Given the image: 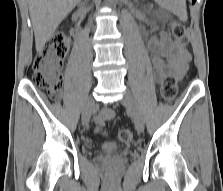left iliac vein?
Listing matches in <instances>:
<instances>
[{
	"label": "left iliac vein",
	"mask_w": 223,
	"mask_h": 191,
	"mask_svg": "<svg viewBox=\"0 0 223 191\" xmlns=\"http://www.w3.org/2000/svg\"><path fill=\"white\" fill-rule=\"evenodd\" d=\"M121 103L132 117L137 132L142 133L144 130V121L132 94L130 92H125L124 97L121 99Z\"/></svg>",
	"instance_id": "4c4485c4"
}]
</instances>
